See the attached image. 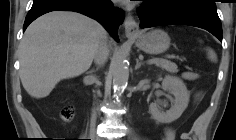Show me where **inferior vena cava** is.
Here are the masks:
<instances>
[{"instance_id": "1", "label": "inferior vena cava", "mask_w": 236, "mask_h": 140, "mask_svg": "<svg viewBox=\"0 0 236 140\" xmlns=\"http://www.w3.org/2000/svg\"><path fill=\"white\" fill-rule=\"evenodd\" d=\"M108 55H109V48L107 41H103L100 43L97 50L95 51L94 60L97 64L103 65L106 62Z\"/></svg>"}]
</instances>
